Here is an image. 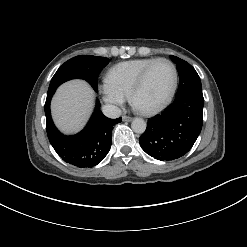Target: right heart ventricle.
Masks as SVG:
<instances>
[{"label": "right heart ventricle", "mask_w": 247, "mask_h": 247, "mask_svg": "<svg viewBox=\"0 0 247 247\" xmlns=\"http://www.w3.org/2000/svg\"><path fill=\"white\" fill-rule=\"evenodd\" d=\"M157 58H139L120 62L107 73L106 79L128 94L141 71Z\"/></svg>", "instance_id": "1"}]
</instances>
